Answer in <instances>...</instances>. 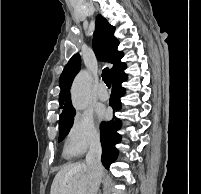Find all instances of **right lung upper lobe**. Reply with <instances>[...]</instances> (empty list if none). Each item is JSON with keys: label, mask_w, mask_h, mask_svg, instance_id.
Instances as JSON below:
<instances>
[{"label": "right lung upper lobe", "mask_w": 201, "mask_h": 194, "mask_svg": "<svg viewBox=\"0 0 201 194\" xmlns=\"http://www.w3.org/2000/svg\"><path fill=\"white\" fill-rule=\"evenodd\" d=\"M115 27L101 15L96 18V28L93 38V49L97 57L106 62L112 63V77L126 68V64L121 62L123 52L118 51L119 41L114 37ZM81 67L80 55L75 54L64 67L59 79L61 92L59 94L60 108L63 109L59 119L75 114V110L71 105L70 88L72 81Z\"/></svg>", "instance_id": "1"}]
</instances>
